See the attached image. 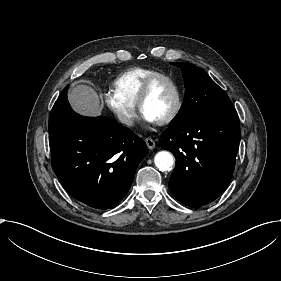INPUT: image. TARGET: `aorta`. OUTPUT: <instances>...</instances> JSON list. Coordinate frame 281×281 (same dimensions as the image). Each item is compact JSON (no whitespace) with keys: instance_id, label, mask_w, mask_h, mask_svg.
Here are the masks:
<instances>
[{"instance_id":"aorta-1","label":"aorta","mask_w":281,"mask_h":281,"mask_svg":"<svg viewBox=\"0 0 281 281\" xmlns=\"http://www.w3.org/2000/svg\"><path fill=\"white\" fill-rule=\"evenodd\" d=\"M156 167L162 171H168L174 164V157L168 151H159L154 157Z\"/></svg>"}]
</instances>
